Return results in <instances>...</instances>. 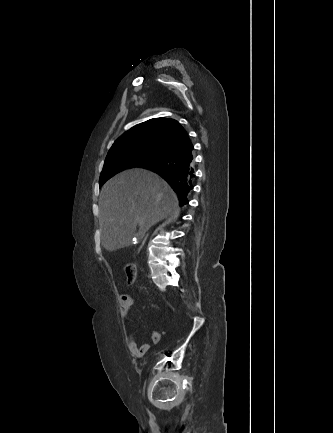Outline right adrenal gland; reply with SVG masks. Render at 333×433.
I'll list each match as a JSON object with an SVG mask.
<instances>
[{
	"instance_id": "obj_1",
	"label": "right adrenal gland",
	"mask_w": 333,
	"mask_h": 433,
	"mask_svg": "<svg viewBox=\"0 0 333 433\" xmlns=\"http://www.w3.org/2000/svg\"><path fill=\"white\" fill-rule=\"evenodd\" d=\"M146 239H147V236L145 237V239H144V241H143V244H144V242L146 241Z\"/></svg>"
}]
</instances>
